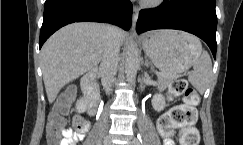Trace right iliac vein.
Returning a JSON list of instances; mask_svg holds the SVG:
<instances>
[{
    "label": "right iliac vein",
    "mask_w": 243,
    "mask_h": 145,
    "mask_svg": "<svg viewBox=\"0 0 243 145\" xmlns=\"http://www.w3.org/2000/svg\"><path fill=\"white\" fill-rule=\"evenodd\" d=\"M103 145H113L111 141V137L106 136L103 141Z\"/></svg>",
    "instance_id": "right-iliac-vein-1"
}]
</instances>
